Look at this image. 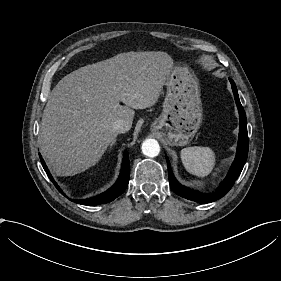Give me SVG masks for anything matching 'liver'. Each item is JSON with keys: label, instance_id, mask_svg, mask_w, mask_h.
I'll return each mask as SVG.
<instances>
[{"label": "liver", "instance_id": "1", "mask_svg": "<svg viewBox=\"0 0 281 281\" xmlns=\"http://www.w3.org/2000/svg\"><path fill=\"white\" fill-rule=\"evenodd\" d=\"M172 65L165 51H129L63 77L42 116L39 145L49 169L70 176L94 165L118 134L114 122L132 125L134 109L152 106Z\"/></svg>", "mask_w": 281, "mask_h": 281}]
</instances>
